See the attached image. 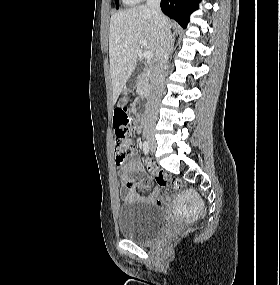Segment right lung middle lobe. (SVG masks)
I'll return each mask as SVG.
<instances>
[{
  "instance_id": "dd1d6c3e",
  "label": "right lung middle lobe",
  "mask_w": 280,
  "mask_h": 285,
  "mask_svg": "<svg viewBox=\"0 0 280 285\" xmlns=\"http://www.w3.org/2000/svg\"><path fill=\"white\" fill-rule=\"evenodd\" d=\"M116 5H117V8H119V2H118V0H116Z\"/></svg>"
}]
</instances>
